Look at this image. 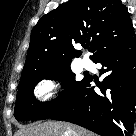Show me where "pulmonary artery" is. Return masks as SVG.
<instances>
[{
	"label": "pulmonary artery",
	"mask_w": 136,
	"mask_h": 136,
	"mask_svg": "<svg viewBox=\"0 0 136 136\" xmlns=\"http://www.w3.org/2000/svg\"><path fill=\"white\" fill-rule=\"evenodd\" d=\"M82 66L85 67V68H90L92 66V62L89 58H83L82 61Z\"/></svg>",
	"instance_id": "pulmonary-artery-1"
}]
</instances>
